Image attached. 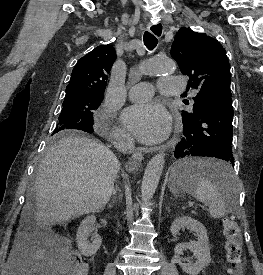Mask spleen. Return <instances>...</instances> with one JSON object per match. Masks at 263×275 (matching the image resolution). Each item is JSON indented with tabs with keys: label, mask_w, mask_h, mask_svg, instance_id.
I'll return each mask as SVG.
<instances>
[{
	"label": "spleen",
	"mask_w": 263,
	"mask_h": 275,
	"mask_svg": "<svg viewBox=\"0 0 263 275\" xmlns=\"http://www.w3.org/2000/svg\"><path fill=\"white\" fill-rule=\"evenodd\" d=\"M209 170L218 171L209 174ZM220 171V172H219ZM172 191L182 190L208 206L214 219L223 217L235 206L238 179L225 162L209 158H187L171 168Z\"/></svg>",
	"instance_id": "3e777b00"
}]
</instances>
